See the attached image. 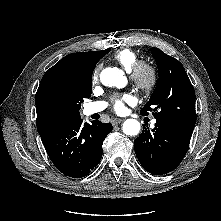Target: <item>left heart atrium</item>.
I'll use <instances>...</instances> for the list:
<instances>
[{
  "label": "left heart atrium",
  "instance_id": "1",
  "mask_svg": "<svg viewBox=\"0 0 221 221\" xmlns=\"http://www.w3.org/2000/svg\"><path fill=\"white\" fill-rule=\"evenodd\" d=\"M133 102V98L130 95H124L121 98H116L114 100V110L115 112H117L118 114H122L125 112L126 110V103H132Z\"/></svg>",
  "mask_w": 221,
  "mask_h": 221
}]
</instances>
